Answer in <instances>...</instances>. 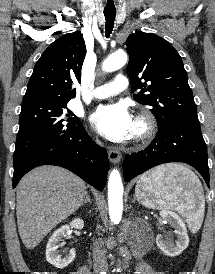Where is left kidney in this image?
I'll list each match as a JSON object with an SVG mask.
<instances>
[{
    "label": "left kidney",
    "mask_w": 215,
    "mask_h": 274,
    "mask_svg": "<svg viewBox=\"0 0 215 274\" xmlns=\"http://www.w3.org/2000/svg\"><path fill=\"white\" fill-rule=\"evenodd\" d=\"M160 216L163 220L172 225L175 230L176 240L173 242L170 236L163 237L162 235H157L156 244L158 248L170 257H175L180 255L189 245V237L187 234V229L182 221V219L176 213L163 209L160 211Z\"/></svg>",
    "instance_id": "obj_1"
}]
</instances>
